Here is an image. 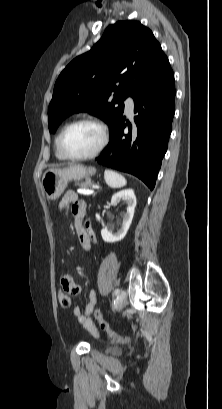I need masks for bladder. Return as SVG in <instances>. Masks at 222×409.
I'll return each instance as SVG.
<instances>
[{
	"label": "bladder",
	"instance_id": "bladder-1",
	"mask_svg": "<svg viewBox=\"0 0 222 409\" xmlns=\"http://www.w3.org/2000/svg\"><path fill=\"white\" fill-rule=\"evenodd\" d=\"M121 349L117 348V347H108L106 349V353L107 354H111V355H119L121 353Z\"/></svg>",
	"mask_w": 222,
	"mask_h": 409
}]
</instances>
